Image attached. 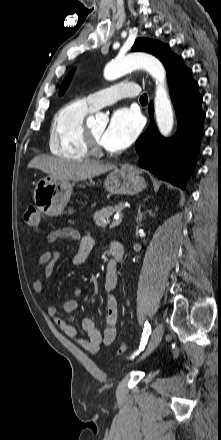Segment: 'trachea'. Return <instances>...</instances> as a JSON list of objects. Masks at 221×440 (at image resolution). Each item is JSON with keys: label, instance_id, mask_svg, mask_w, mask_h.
<instances>
[{"label": "trachea", "instance_id": "trachea-1", "mask_svg": "<svg viewBox=\"0 0 221 440\" xmlns=\"http://www.w3.org/2000/svg\"><path fill=\"white\" fill-rule=\"evenodd\" d=\"M140 102H147V94H143V95L140 97Z\"/></svg>", "mask_w": 221, "mask_h": 440}]
</instances>
